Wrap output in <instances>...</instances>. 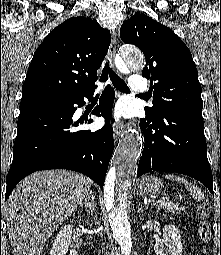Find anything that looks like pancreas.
Listing matches in <instances>:
<instances>
[{
  "label": "pancreas",
  "instance_id": "1",
  "mask_svg": "<svg viewBox=\"0 0 221 255\" xmlns=\"http://www.w3.org/2000/svg\"><path fill=\"white\" fill-rule=\"evenodd\" d=\"M158 208L164 209L166 212H172L176 214H181L185 210V206H180L177 203H173L168 200H162L158 205Z\"/></svg>",
  "mask_w": 221,
  "mask_h": 255
}]
</instances>
